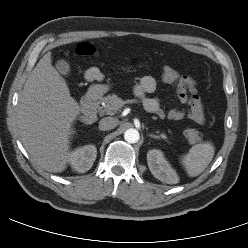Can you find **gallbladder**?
I'll use <instances>...</instances> for the list:
<instances>
[{"label": "gallbladder", "instance_id": "bac80fb5", "mask_svg": "<svg viewBox=\"0 0 248 248\" xmlns=\"http://www.w3.org/2000/svg\"><path fill=\"white\" fill-rule=\"evenodd\" d=\"M56 69L60 74L65 76L70 73V65L67 61L63 59H60L56 62Z\"/></svg>", "mask_w": 248, "mask_h": 248}]
</instances>
